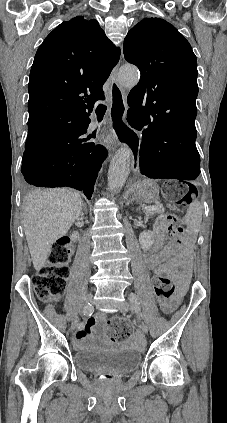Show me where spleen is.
Returning <instances> with one entry per match:
<instances>
[{
    "label": "spleen",
    "instance_id": "spleen-1",
    "mask_svg": "<svg viewBox=\"0 0 227 423\" xmlns=\"http://www.w3.org/2000/svg\"><path fill=\"white\" fill-rule=\"evenodd\" d=\"M184 221L188 229H192V231H197V229H199L202 221V210L199 202H193V204H190L184 217Z\"/></svg>",
    "mask_w": 227,
    "mask_h": 423
}]
</instances>
